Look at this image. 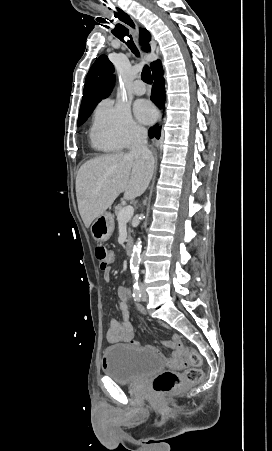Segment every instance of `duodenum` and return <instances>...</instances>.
Listing matches in <instances>:
<instances>
[{"label":"duodenum","mask_w":272,"mask_h":451,"mask_svg":"<svg viewBox=\"0 0 272 451\" xmlns=\"http://www.w3.org/2000/svg\"><path fill=\"white\" fill-rule=\"evenodd\" d=\"M132 251H133V244H132V243H128V244L126 245V253H127L128 255H131V254H132Z\"/></svg>","instance_id":"410a0bca"}]
</instances>
